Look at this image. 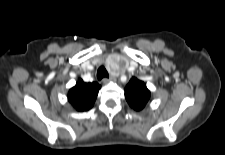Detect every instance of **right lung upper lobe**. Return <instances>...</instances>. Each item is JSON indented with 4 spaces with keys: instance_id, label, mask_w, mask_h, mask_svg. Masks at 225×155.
Here are the masks:
<instances>
[{
    "instance_id": "1",
    "label": "right lung upper lobe",
    "mask_w": 225,
    "mask_h": 155,
    "mask_svg": "<svg viewBox=\"0 0 225 155\" xmlns=\"http://www.w3.org/2000/svg\"><path fill=\"white\" fill-rule=\"evenodd\" d=\"M101 86L97 82L85 83L79 79L69 90L68 101L79 112L87 111L94 105Z\"/></svg>"
}]
</instances>
